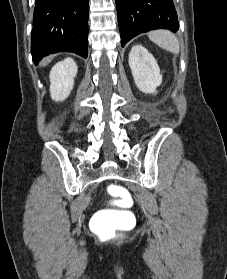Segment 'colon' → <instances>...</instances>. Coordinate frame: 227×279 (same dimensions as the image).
Returning a JSON list of instances; mask_svg holds the SVG:
<instances>
[{
    "label": "colon",
    "instance_id": "5ec220e1",
    "mask_svg": "<svg viewBox=\"0 0 227 279\" xmlns=\"http://www.w3.org/2000/svg\"><path fill=\"white\" fill-rule=\"evenodd\" d=\"M107 191L119 205H124L131 198L128 191L115 184L108 185ZM128 219V211L122 207L104 210L98 213L95 230L100 234H111L122 229Z\"/></svg>",
    "mask_w": 227,
    "mask_h": 279
}]
</instances>
